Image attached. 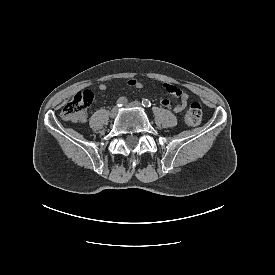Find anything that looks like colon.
Returning a JSON list of instances; mask_svg holds the SVG:
<instances>
[{
  "instance_id": "colon-1",
  "label": "colon",
  "mask_w": 275,
  "mask_h": 275,
  "mask_svg": "<svg viewBox=\"0 0 275 275\" xmlns=\"http://www.w3.org/2000/svg\"><path fill=\"white\" fill-rule=\"evenodd\" d=\"M93 99L94 93L91 90L80 91L62 108L61 116L74 123H84L86 120V108ZM202 116V105L197 101H193L184 116V122L189 126H195L201 121Z\"/></svg>"
}]
</instances>
